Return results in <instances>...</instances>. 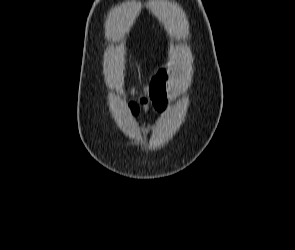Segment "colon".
<instances>
[{
  "label": "colon",
  "mask_w": 295,
  "mask_h": 250,
  "mask_svg": "<svg viewBox=\"0 0 295 250\" xmlns=\"http://www.w3.org/2000/svg\"><path fill=\"white\" fill-rule=\"evenodd\" d=\"M131 108H132L133 112H137V106L135 104H132Z\"/></svg>",
  "instance_id": "5ec220e1"
}]
</instances>
